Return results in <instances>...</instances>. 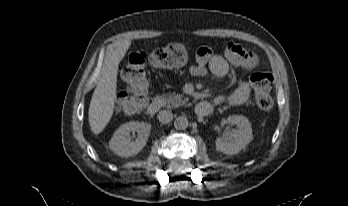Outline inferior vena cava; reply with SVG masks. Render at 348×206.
I'll use <instances>...</instances> for the list:
<instances>
[{
  "mask_svg": "<svg viewBox=\"0 0 348 206\" xmlns=\"http://www.w3.org/2000/svg\"><path fill=\"white\" fill-rule=\"evenodd\" d=\"M157 118L159 122L167 124L173 120V113L169 110H161L158 113Z\"/></svg>",
  "mask_w": 348,
  "mask_h": 206,
  "instance_id": "inferior-vena-cava-1",
  "label": "inferior vena cava"
}]
</instances>
